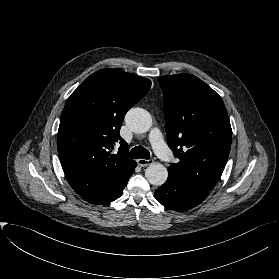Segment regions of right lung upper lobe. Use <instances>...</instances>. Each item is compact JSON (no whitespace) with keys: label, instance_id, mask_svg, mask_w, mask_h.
<instances>
[{"label":"right lung upper lobe","instance_id":"cb5924a9","mask_svg":"<svg viewBox=\"0 0 279 279\" xmlns=\"http://www.w3.org/2000/svg\"><path fill=\"white\" fill-rule=\"evenodd\" d=\"M150 86L146 78L102 69L68 98L60 119L58 153L66 178L87 202L107 199L132 175L137 163L128 158L119 132L126 112ZM117 142L118 153L111 154Z\"/></svg>","mask_w":279,"mask_h":279}]
</instances>
